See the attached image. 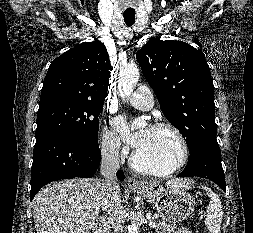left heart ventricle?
Wrapping results in <instances>:
<instances>
[{"label":"left heart ventricle","instance_id":"1","mask_svg":"<svg viewBox=\"0 0 253 233\" xmlns=\"http://www.w3.org/2000/svg\"><path fill=\"white\" fill-rule=\"evenodd\" d=\"M136 155L143 165L167 170L179 161L181 146L171 132L150 128L144 142L136 149Z\"/></svg>","mask_w":253,"mask_h":233}]
</instances>
